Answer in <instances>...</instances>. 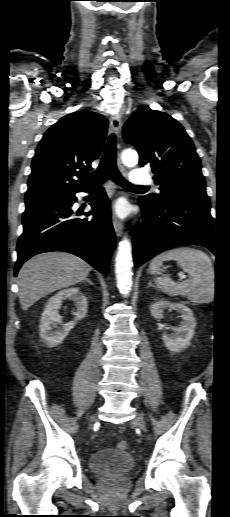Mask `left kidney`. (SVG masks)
Masks as SVG:
<instances>
[{"label":"left kidney","mask_w":230,"mask_h":517,"mask_svg":"<svg viewBox=\"0 0 230 517\" xmlns=\"http://www.w3.org/2000/svg\"><path fill=\"white\" fill-rule=\"evenodd\" d=\"M165 310H176L181 314L182 321L180 326L172 328L175 333H164L162 336L165 346L170 351L179 352L180 350L188 347L194 335L196 319L191 309L181 303H172L161 300L150 306L151 315L156 319L162 318Z\"/></svg>","instance_id":"5707ae66"}]
</instances>
